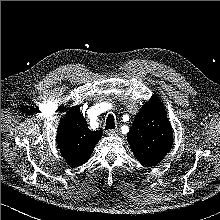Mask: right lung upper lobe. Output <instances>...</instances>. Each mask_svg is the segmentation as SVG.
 <instances>
[{"instance_id": "cb5924a9", "label": "right lung upper lobe", "mask_w": 220, "mask_h": 220, "mask_svg": "<svg viewBox=\"0 0 220 220\" xmlns=\"http://www.w3.org/2000/svg\"><path fill=\"white\" fill-rule=\"evenodd\" d=\"M102 132L91 131L78 107H72L61 119L57 130V144L71 167L87 162L100 140Z\"/></svg>"}]
</instances>
